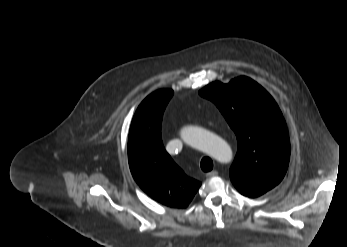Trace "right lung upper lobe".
<instances>
[{"label": "right lung upper lobe", "mask_w": 347, "mask_h": 247, "mask_svg": "<svg viewBox=\"0 0 347 247\" xmlns=\"http://www.w3.org/2000/svg\"><path fill=\"white\" fill-rule=\"evenodd\" d=\"M172 94L170 89L158 90L139 105L129 131L128 160L146 194L166 206L186 208L201 183L184 174L162 143V116Z\"/></svg>", "instance_id": "1"}]
</instances>
